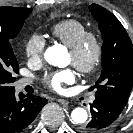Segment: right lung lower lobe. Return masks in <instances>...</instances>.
Listing matches in <instances>:
<instances>
[{"instance_id": "right-lung-lower-lobe-1", "label": "right lung lower lobe", "mask_w": 133, "mask_h": 133, "mask_svg": "<svg viewBox=\"0 0 133 133\" xmlns=\"http://www.w3.org/2000/svg\"><path fill=\"white\" fill-rule=\"evenodd\" d=\"M47 103L45 98L25 96L15 90L0 96V132L17 133L24 131Z\"/></svg>"}]
</instances>
